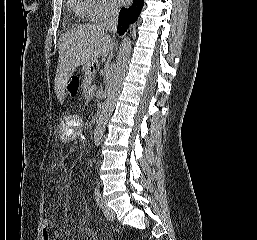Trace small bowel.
<instances>
[{"instance_id": "small-bowel-1", "label": "small bowel", "mask_w": 257, "mask_h": 240, "mask_svg": "<svg viewBox=\"0 0 257 240\" xmlns=\"http://www.w3.org/2000/svg\"><path fill=\"white\" fill-rule=\"evenodd\" d=\"M76 236L75 231L68 225L67 220L53 240H72Z\"/></svg>"}]
</instances>
